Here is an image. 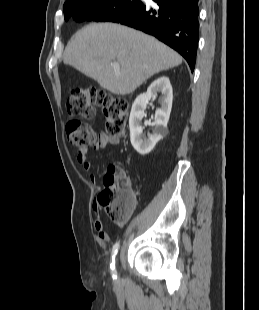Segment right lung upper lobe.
I'll use <instances>...</instances> for the list:
<instances>
[{
  "label": "right lung upper lobe",
  "instance_id": "1",
  "mask_svg": "<svg viewBox=\"0 0 259 310\" xmlns=\"http://www.w3.org/2000/svg\"><path fill=\"white\" fill-rule=\"evenodd\" d=\"M97 1H101V0H66L64 6H66V5H73V4L83 5V4L94 3V2H97Z\"/></svg>",
  "mask_w": 259,
  "mask_h": 310
}]
</instances>
